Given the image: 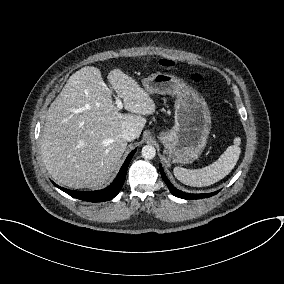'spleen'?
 I'll return each instance as SVG.
<instances>
[{
	"label": "spleen",
	"instance_id": "obj_1",
	"mask_svg": "<svg viewBox=\"0 0 284 284\" xmlns=\"http://www.w3.org/2000/svg\"><path fill=\"white\" fill-rule=\"evenodd\" d=\"M233 145L229 146L214 163L201 169H186L175 167V177L183 184L203 187L212 185L227 176L235 167L240 156L239 137L234 138Z\"/></svg>",
	"mask_w": 284,
	"mask_h": 284
}]
</instances>
